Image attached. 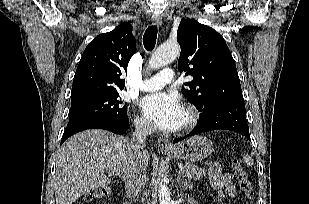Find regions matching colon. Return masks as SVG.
Masks as SVG:
<instances>
[{"label": "colon", "instance_id": "5ec220e1", "mask_svg": "<svg viewBox=\"0 0 309 204\" xmlns=\"http://www.w3.org/2000/svg\"><path fill=\"white\" fill-rule=\"evenodd\" d=\"M232 169L234 178L237 181L241 190L243 191L247 201L251 202L254 198V188L239 160L237 159L232 160ZM108 193H109L108 189H101L100 191L95 193L94 196L92 197L102 198L107 196Z\"/></svg>", "mask_w": 309, "mask_h": 204}]
</instances>
